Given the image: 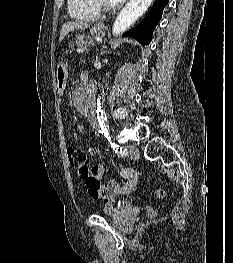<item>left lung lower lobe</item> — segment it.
Segmentation results:
<instances>
[{
	"mask_svg": "<svg viewBox=\"0 0 233 263\" xmlns=\"http://www.w3.org/2000/svg\"><path fill=\"white\" fill-rule=\"evenodd\" d=\"M168 2L169 0H155L145 18L135 28L124 35L135 38L142 45H148L151 41L153 30L160 21L163 9Z\"/></svg>",
	"mask_w": 233,
	"mask_h": 263,
	"instance_id": "obj_1",
	"label": "left lung lower lobe"
}]
</instances>
